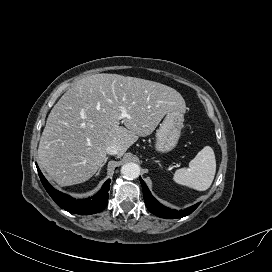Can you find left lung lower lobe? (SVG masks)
I'll use <instances>...</instances> for the list:
<instances>
[{
    "instance_id": "1",
    "label": "left lung lower lobe",
    "mask_w": 272,
    "mask_h": 272,
    "mask_svg": "<svg viewBox=\"0 0 272 272\" xmlns=\"http://www.w3.org/2000/svg\"><path fill=\"white\" fill-rule=\"evenodd\" d=\"M140 182L142 185V190H143V195H144V201L146 204V207L148 210L153 213L154 215L161 217V218H166V219H174V218H182L184 216H187L191 214L198 206L200 203H197L185 210H172L170 208H167L160 204L150 193L147 185L145 182L141 179L140 177Z\"/></svg>"
}]
</instances>
